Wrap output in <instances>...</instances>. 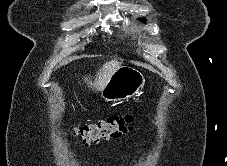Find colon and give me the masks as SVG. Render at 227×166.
Wrapping results in <instances>:
<instances>
[{
  "label": "colon",
  "mask_w": 227,
  "mask_h": 166,
  "mask_svg": "<svg viewBox=\"0 0 227 166\" xmlns=\"http://www.w3.org/2000/svg\"><path fill=\"white\" fill-rule=\"evenodd\" d=\"M133 121L134 117L131 114L111 115L105 120L74 128L72 135L81 144L89 146L126 134L132 130Z\"/></svg>",
  "instance_id": "colon-1"
}]
</instances>
